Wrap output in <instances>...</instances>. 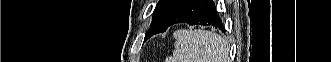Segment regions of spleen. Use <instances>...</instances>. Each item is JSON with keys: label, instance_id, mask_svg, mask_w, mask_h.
Masks as SVG:
<instances>
[{"label": "spleen", "instance_id": "1", "mask_svg": "<svg viewBox=\"0 0 331 62\" xmlns=\"http://www.w3.org/2000/svg\"><path fill=\"white\" fill-rule=\"evenodd\" d=\"M173 57L167 62H227L229 47L224 38L203 30H177Z\"/></svg>", "mask_w": 331, "mask_h": 62}]
</instances>
